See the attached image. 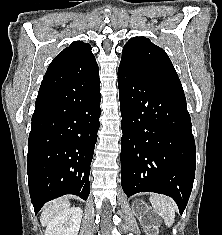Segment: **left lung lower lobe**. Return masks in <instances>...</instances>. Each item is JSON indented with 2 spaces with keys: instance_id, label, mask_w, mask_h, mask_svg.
Wrapping results in <instances>:
<instances>
[{
  "instance_id": "obj_1",
  "label": "left lung lower lobe",
  "mask_w": 222,
  "mask_h": 235,
  "mask_svg": "<svg viewBox=\"0 0 222 235\" xmlns=\"http://www.w3.org/2000/svg\"><path fill=\"white\" fill-rule=\"evenodd\" d=\"M121 185L129 197H172L183 213L195 177L196 148L184 92L119 65Z\"/></svg>"
}]
</instances>
